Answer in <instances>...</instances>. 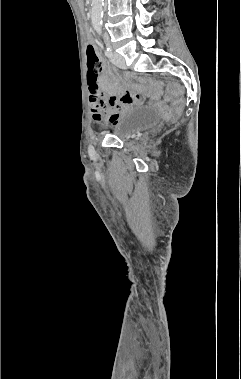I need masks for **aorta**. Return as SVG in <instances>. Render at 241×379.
Masks as SVG:
<instances>
[{
	"label": "aorta",
	"mask_w": 241,
	"mask_h": 379,
	"mask_svg": "<svg viewBox=\"0 0 241 379\" xmlns=\"http://www.w3.org/2000/svg\"><path fill=\"white\" fill-rule=\"evenodd\" d=\"M103 1L104 0H92L91 21L94 29L99 31L102 23Z\"/></svg>",
	"instance_id": "obj_1"
}]
</instances>
